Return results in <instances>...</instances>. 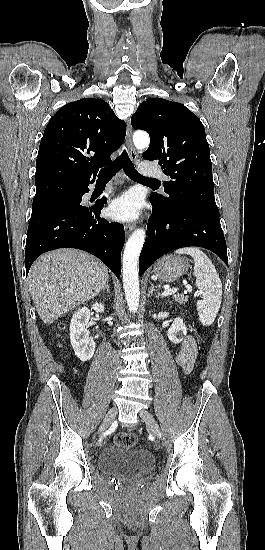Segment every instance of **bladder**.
Returning a JSON list of instances; mask_svg holds the SVG:
<instances>
[{"label": "bladder", "instance_id": "1", "mask_svg": "<svg viewBox=\"0 0 265 550\" xmlns=\"http://www.w3.org/2000/svg\"><path fill=\"white\" fill-rule=\"evenodd\" d=\"M98 465L109 475L142 478L152 471L154 459L147 449L115 445L102 452Z\"/></svg>", "mask_w": 265, "mask_h": 550}]
</instances>
